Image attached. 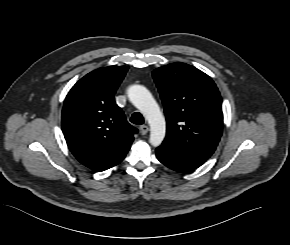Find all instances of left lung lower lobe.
Returning <instances> with one entry per match:
<instances>
[{
    "instance_id": "0a47b994",
    "label": "left lung lower lobe",
    "mask_w": 290,
    "mask_h": 245,
    "mask_svg": "<svg viewBox=\"0 0 290 245\" xmlns=\"http://www.w3.org/2000/svg\"><path fill=\"white\" fill-rule=\"evenodd\" d=\"M156 156L161 163L178 172L194 170L205 162L183 155L164 145H161L156 149Z\"/></svg>"
}]
</instances>
